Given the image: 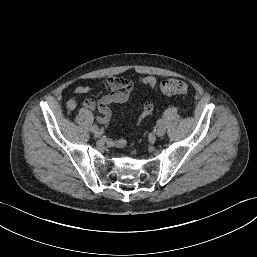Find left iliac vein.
<instances>
[{
    "label": "left iliac vein",
    "instance_id": "left-iliac-vein-1",
    "mask_svg": "<svg viewBox=\"0 0 257 257\" xmlns=\"http://www.w3.org/2000/svg\"><path fill=\"white\" fill-rule=\"evenodd\" d=\"M165 131V128L162 125H160L156 128L155 133L158 137H162L165 134Z\"/></svg>",
    "mask_w": 257,
    "mask_h": 257
}]
</instances>
